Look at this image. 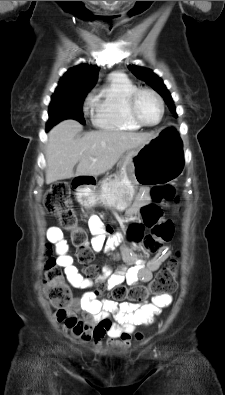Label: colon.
Listing matches in <instances>:
<instances>
[{
  "mask_svg": "<svg viewBox=\"0 0 225 395\" xmlns=\"http://www.w3.org/2000/svg\"><path fill=\"white\" fill-rule=\"evenodd\" d=\"M152 203L141 209V222L134 223L129 227V239L141 242L145 253H157L163 243L170 241L174 234L171 221L161 217V206L172 207L175 212L180 211L181 200L175 194L170 185L155 186L150 191ZM45 208L54 216L60 227L69 233V241L75 249L77 261L85 268L88 278L96 276L97 269L93 265V252L88 241L86 230L79 224L70 198V188L64 182L53 184L45 196ZM144 227L150 229V233L144 234ZM44 292L51 305L58 311H64L72 303V281L65 278L60 266H56V258L53 256L50 246L46 249L44 263ZM177 257L170 260L167 267L160 270L148 285H136L128 287L117 284L112 288V298L117 301L128 300L140 303L150 295L169 294L177 288ZM100 289L107 287L104 282H98Z\"/></svg>",
  "mask_w": 225,
  "mask_h": 395,
  "instance_id": "obj_1",
  "label": "colon"
}]
</instances>
